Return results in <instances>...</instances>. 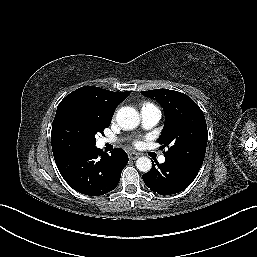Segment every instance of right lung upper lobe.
I'll use <instances>...</instances> for the list:
<instances>
[{
    "instance_id": "cb5924a9",
    "label": "right lung upper lobe",
    "mask_w": 257,
    "mask_h": 257,
    "mask_svg": "<svg viewBox=\"0 0 257 257\" xmlns=\"http://www.w3.org/2000/svg\"><path fill=\"white\" fill-rule=\"evenodd\" d=\"M130 93L131 91L118 93L99 87L84 86L67 95L58 105L52 124L51 144L54 157L80 149L77 146L68 145L65 141L67 129L63 121V114L67 107L72 104H81L106 117L112 118L116 107L125 100Z\"/></svg>"
}]
</instances>
